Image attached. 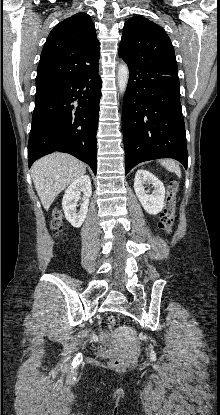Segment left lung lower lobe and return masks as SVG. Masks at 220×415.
<instances>
[{
  "mask_svg": "<svg viewBox=\"0 0 220 415\" xmlns=\"http://www.w3.org/2000/svg\"><path fill=\"white\" fill-rule=\"evenodd\" d=\"M122 108L125 174L140 162L173 158L187 169L179 78L128 65Z\"/></svg>",
  "mask_w": 220,
  "mask_h": 415,
  "instance_id": "left-lung-lower-lobe-1",
  "label": "left lung lower lobe"
}]
</instances>
